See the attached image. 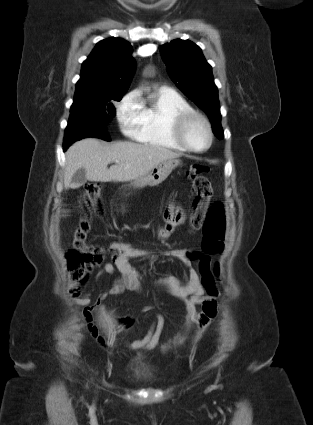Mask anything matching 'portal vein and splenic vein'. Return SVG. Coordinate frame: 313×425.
Instances as JSON below:
<instances>
[{"instance_id": "obj_1", "label": "portal vein and splenic vein", "mask_w": 313, "mask_h": 425, "mask_svg": "<svg viewBox=\"0 0 313 425\" xmlns=\"http://www.w3.org/2000/svg\"><path fill=\"white\" fill-rule=\"evenodd\" d=\"M114 162H115V163H119V161H118V160H114Z\"/></svg>"}]
</instances>
